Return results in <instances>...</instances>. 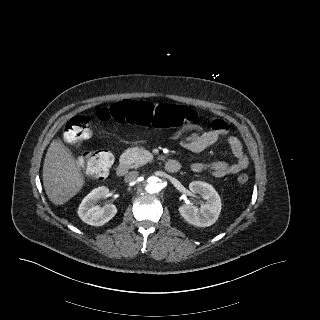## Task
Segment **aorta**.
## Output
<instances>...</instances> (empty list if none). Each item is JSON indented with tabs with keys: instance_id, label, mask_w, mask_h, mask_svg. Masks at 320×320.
I'll list each match as a JSON object with an SVG mask.
<instances>
[{
	"instance_id": "1",
	"label": "aorta",
	"mask_w": 320,
	"mask_h": 320,
	"mask_svg": "<svg viewBox=\"0 0 320 320\" xmlns=\"http://www.w3.org/2000/svg\"><path fill=\"white\" fill-rule=\"evenodd\" d=\"M162 189L159 179L155 176H151L146 180V191L150 194L160 192Z\"/></svg>"
}]
</instances>
